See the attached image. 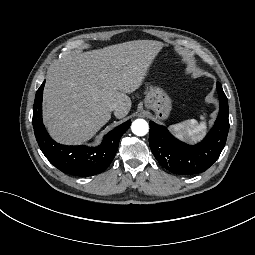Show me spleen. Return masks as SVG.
<instances>
[{
	"label": "spleen",
	"instance_id": "obj_1",
	"mask_svg": "<svg viewBox=\"0 0 255 255\" xmlns=\"http://www.w3.org/2000/svg\"><path fill=\"white\" fill-rule=\"evenodd\" d=\"M170 129L180 137L197 139L202 136V133L205 130V125L203 123L199 125L198 121L195 119H186L171 125Z\"/></svg>",
	"mask_w": 255,
	"mask_h": 255
}]
</instances>
